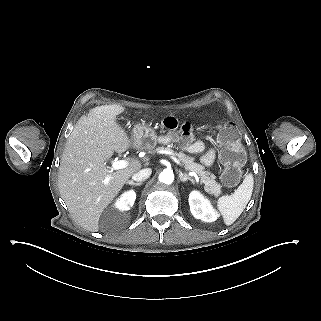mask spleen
<instances>
[{
    "label": "spleen",
    "mask_w": 321,
    "mask_h": 321,
    "mask_svg": "<svg viewBox=\"0 0 321 321\" xmlns=\"http://www.w3.org/2000/svg\"><path fill=\"white\" fill-rule=\"evenodd\" d=\"M254 178L251 172L245 175L242 184L233 195H223L216 201V207L226 226L232 225L250 201Z\"/></svg>",
    "instance_id": "3e777b00"
}]
</instances>
